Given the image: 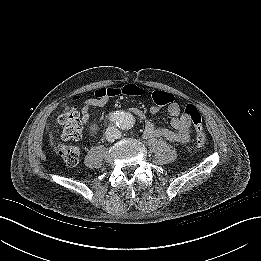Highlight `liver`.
I'll return each mask as SVG.
<instances>
[{
    "label": "liver",
    "mask_w": 261,
    "mask_h": 261,
    "mask_svg": "<svg viewBox=\"0 0 261 261\" xmlns=\"http://www.w3.org/2000/svg\"><path fill=\"white\" fill-rule=\"evenodd\" d=\"M49 142L51 145H53V135L51 132L49 133Z\"/></svg>",
    "instance_id": "obj_1"
}]
</instances>
